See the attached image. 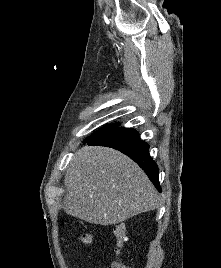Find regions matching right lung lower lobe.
<instances>
[{
    "mask_svg": "<svg viewBox=\"0 0 221 268\" xmlns=\"http://www.w3.org/2000/svg\"><path fill=\"white\" fill-rule=\"evenodd\" d=\"M89 145L112 147L128 155L148 175L159 192V169L149 154V145L138 138V133L132 128H114L89 139Z\"/></svg>",
    "mask_w": 221,
    "mask_h": 268,
    "instance_id": "1",
    "label": "right lung lower lobe"
}]
</instances>
